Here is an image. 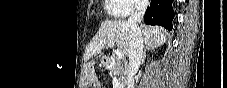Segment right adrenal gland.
<instances>
[{"label": "right adrenal gland", "mask_w": 227, "mask_h": 88, "mask_svg": "<svg viewBox=\"0 0 227 88\" xmlns=\"http://www.w3.org/2000/svg\"><path fill=\"white\" fill-rule=\"evenodd\" d=\"M147 50H150V49H145V50H144V53H143V56H142V60H141V63H142V64H144V62H145Z\"/></svg>", "instance_id": "obj_1"}]
</instances>
